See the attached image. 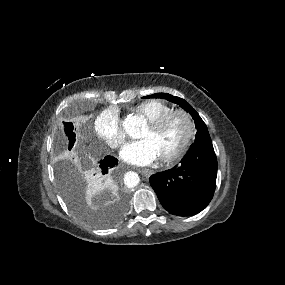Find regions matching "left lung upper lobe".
Returning a JSON list of instances; mask_svg holds the SVG:
<instances>
[{"label": "left lung upper lobe", "instance_id": "5c2ea615", "mask_svg": "<svg viewBox=\"0 0 285 285\" xmlns=\"http://www.w3.org/2000/svg\"><path fill=\"white\" fill-rule=\"evenodd\" d=\"M143 98H162L167 99L168 101H171L173 103L179 104L180 107H182L185 111L189 112V114L193 117L195 126L197 129V133L195 136V142L192 144V146L201 143L206 140H211L210 135L208 133V129L206 124L203 122L199 114L192 108V106L187 103L184 99L172 96L167 93H156L152 94ZM191 146V147H192Z\"/></svg>", "mask_w": 285, "mask_h": 285}]
</instances>
